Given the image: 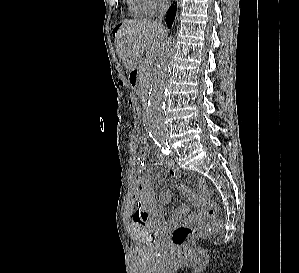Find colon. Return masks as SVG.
Here are the masks:
<instances>
[{
    "mask_svg": "<svg viewBox=\"0 0 299 273\" xmlns=\"http://www.w3.org/2000/svg\"><path fill=\"white\" fill-rule=\"evenodd\" d=\"M140 142L143 145L144 149H149V139L147 135H142L140 138ZM200 188L204 191L205 186L202 181H200ZM219 213V208L216 204H210L208 208V216L211 219L216 218ZM218 223L215 221L207 222L200 225L190 226L186 224H182L176 226L172 231V241L176 246L183 247L187 245L195 236L204 235L212 232Z\"/></svg>",
    "mask_w": 299,
    "mask_h": 273,
    "instance_id": "5ec220e1",
    "label": "colon"
}]
</instances>
